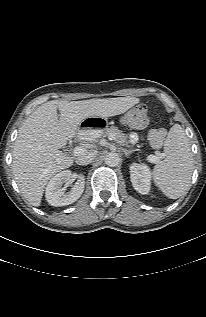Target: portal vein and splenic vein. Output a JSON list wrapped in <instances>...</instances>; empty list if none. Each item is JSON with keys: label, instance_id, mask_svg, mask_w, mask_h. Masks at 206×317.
Returning a JSON list of instances; mask_svg holds the SVG:
<instances>
[{"label": "portal vein and splenic vein", "instance_id": "1", "mask_svg": "<svg viewBox=\"0 0 206 317\" xmlns=\"http://www.w3.org/2000/svg\"><path fill=\"white\" fill-rule=\"evenodd\" d=\"M108 138H109V140H114V136H113V135H110ZM84 151H85V148H82V147H79V146H77V147H75V148L73 149V153H74L75 156H78V155L82 154ZM162 157H163V154H162V153H158L157 155H149V156L147 157V160H148L149 162H151V163H156V162H158Z\"/></svg>", "mask_w": 206, "mask_h": 317}]
</instances>
